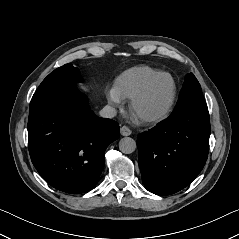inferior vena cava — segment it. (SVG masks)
Wrapping results in <instances>:
<instances>
[{
	"mask_svg": "<svg viewBox=\"0 0 239 239\" xmlns=\"http://www.w3.org/2000/svg\"><path fill=\"white\" fill-rule=\"evenodd\" d=\"M117 111L114 107L106 105L100 112V116L103 118H113Z\"/></svg>",
	"mask_w": 239,
	"mask_h": 239,
	"instance_id": "1",
	"label": "inferior vena cava"
}]
</instances>
